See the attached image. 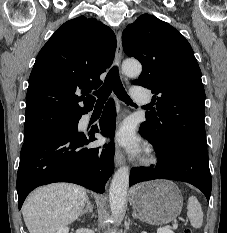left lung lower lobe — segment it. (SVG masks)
Returning <instances> with one entry per match:
<instances>
[{
	"label": "left lung lower lobe",
	"mask_w": 227,
	"mask_h": 233,
	"mask_svg": "<svg viewBox=\"0 0 227 233\" xmlns=\"http://www.w3.org/2000/svg\"><path fill=\"white\" fill-rule=\"evenodd\" d=\"M141 135L146 138L142 133ZM154 148L158 163L150 168H133L130 186L154 179L183 181L200 189L209 201L212 179L207 149L185 140L172 141L164 147Z\"/></svg>",
	"instance_id": "left-lung-lower-lobe-1"
}]
</instances>
